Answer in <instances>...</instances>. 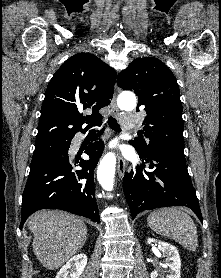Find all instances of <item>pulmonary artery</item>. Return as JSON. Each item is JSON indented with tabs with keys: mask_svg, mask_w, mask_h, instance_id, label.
I'll use <instances>...</instances> for the list:
<instances>
[{
	"mask_svg": "<svg viewBox=\"0 0 221 278\" xmlns=\"http://www.w3.org/2000/svg\"><path fill=\"white\" fill-rule=\"evenodd\" d=\"M121 125L124 129H133L136 126V117L134 115L126 114L120 117Z\"/></svg>",
	"mask_w": 221,
	"mask_h": 278,
	"instance_id": "e3ab8cb5",
	"label": "pulmonary artery"
}]
</instances>
